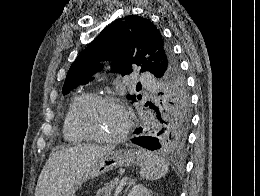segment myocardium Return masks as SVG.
I'll use <instances>...</instances> for the list:
<instances>
[{
    "mask_svg": "<svg viewBox=\"0 0 260 196\" xmlns=\"http://www.w3.org/2000/svg\"><path fill=\"white\" fill-rule=\"evenodd\" d=\"M103 104H116L120 106L125 114V123L123 128L114 135L111 134H99L93 131L87 123L89 116ZM78 129L89 139L97 142H120L124 140L129 134L133 125V115L127 104V102L114 95H100L93 97L79 112L77 116Z\"/></svg>",
    "mask_w": 260,
    "mask_h": 196,
    "instance_id": "1",
    "label": "myocardium"
}]
</instances>
